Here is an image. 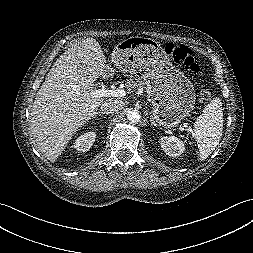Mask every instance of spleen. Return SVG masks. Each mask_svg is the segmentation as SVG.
Returning <instances> with one entry per match:
<instances>
[{
    "mask_svg": "<svg viewBox=\"0 0 253 253\" xmlns=\"http://www.w3.org/2000/svg\"><path fill=\"white\" fill-rule=\"evenodd\" d=\"M223 131V108L220 98H214L203 110L194 124L192 132L199 156L205 160L215 150Z\"/></svg>",
    "mask_w": 253,
    "mask_h": 253,
    "instance_id": "1",
    "label": "spleen"
}]
</instances>
